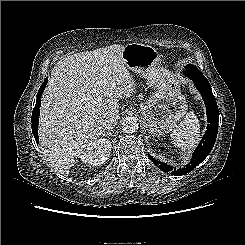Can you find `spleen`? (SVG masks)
Listing matches in <instances>:
<instances>
[{
	"label": "spleen",
	"instance_id": "1",
	"mask_svg": "<svg viewBox=\"0 0 245 245\" xmlns=\"http://www.w3.org/2000/svg\"><path fill=\"white\" fill-rule=\"evenodd\" d=\"M172 142L182 150L194 148L200 139V124L197 115L191 111L170 135Z\"/></svg>",
	"mask_w": 245,
	"mask_h": 245
}]
</instances>
